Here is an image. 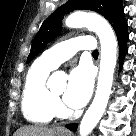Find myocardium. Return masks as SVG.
<instances>
[{
  "instance_id": "myocardium-1",
  "label": "myocardium",
  "mask_w": 136,
  "mask_h": 136,
  "mask_svg": "<svg viewBox=\"0 0 136 136\" xmlns=\"http://www.w3.org/2000/svg\"><path fill=\"white\" fill-rule=\"evenodd\" d=\"M53 96L57 97V95H56V94H53Z\"/></svg>"
}]
</instances>
